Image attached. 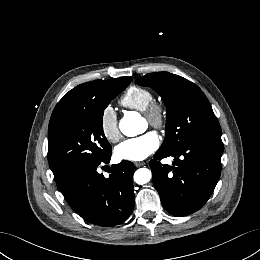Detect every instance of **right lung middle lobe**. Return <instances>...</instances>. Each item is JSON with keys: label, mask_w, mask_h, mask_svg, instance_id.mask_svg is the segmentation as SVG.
Returning <instances> with one entry per match:
<instances>
[{"label": "right lung middle lobe", "mask_w": 260, "mask_h": 260, "mask_svg": "<svg viewBox=\"0 0 260 260\" xmlns=\"http://www.w3.org/2000/svg\"><path fill=\"white\" fill-rule=\"evenodd\" d=\"M125 88L107 87L98 91L76 113L49 132L48 160L55 178L111 154V145L103 132V113L111 100Z\"/></svg>", "instance_id": "1"}]
</instances>
